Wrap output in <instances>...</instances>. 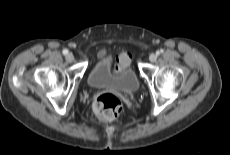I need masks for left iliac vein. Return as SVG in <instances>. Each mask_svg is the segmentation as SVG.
Returning <instances> with one entry per match:
<instances>
[{"mask_svg": "<svg viewBox=\"0 0 230 155\" xmlns=\"http://www.w3.org/2000/svg\"><path fill=\"white\" fill-rule=\"evenodd\" d=\"M150 62H155L157 60V55L155 53H152L149 55Z\"/></svg>", "mask_w": 230, "mask_h": 155, "instance_id": "left-iliac-vein-1", "label": "left iliac vein"}]
</instances>
